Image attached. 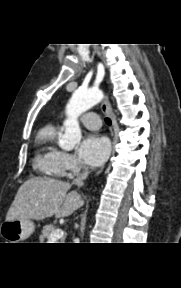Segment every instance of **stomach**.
<instances>
[{
  "label": "stomach",
  "instance_id": "stomach-1",
  "mask_svg": "<svg viewBox=\"0 0 181 288\" xmlns=\"http://www.w3.org/2000/svg\"><path fill=\"white\" fill-rule=\"evenodd\" d=\"M35 226L31 220L16 219L11 221H4L0 225V236L4 238L7 243H20L28 239L34 232Z\"/></svg>",
  "mask_w": 181,
  "mask_h": 288
}]
</instances>
